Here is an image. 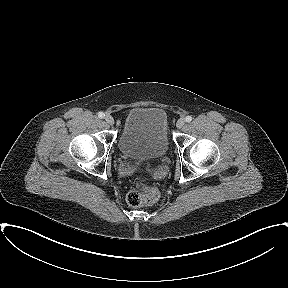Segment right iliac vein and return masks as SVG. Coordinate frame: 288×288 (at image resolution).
Instances as JSON below:
<instances>
[{
    "label": "right iliac vein",
    "mask_w": 288,
    "mask_h": 288,
    "mask_svg": "<svg viewBox=\"0 0 288 288\" xmlns=\"http://www.w3.org/2000/svg\"><path fill=\"white\" fill-rule=\"evenodd\" d=\"M105 121L109 124V125H113L114 124V119L111 115H106L105 116Z\"/></svg>",
    "instance_id": "obj_1"
}]
</instances>
